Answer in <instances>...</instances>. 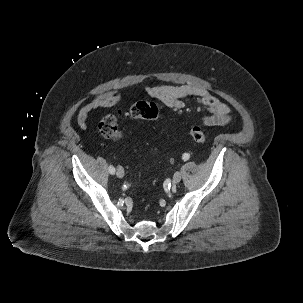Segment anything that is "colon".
I'll use <instances>...</instances> for the list:
<instances>
[{"label":"colon","mask_w":303,"mask_h":303,"mask_svg":"<svg viewBox=\"0 0 303 303\" xmlns=\"http://www.w3.org/2000/svg\"><path fill=\"white\" fill-rule=\"evenodd\" d=\"M123 115L144 120H157L160 117V112L158 107L152 102L145 100L137 101L126 113L117 111L115 113L105 115L98 124L100 134L111 140L122 139L124 137V131L119 127L118 119ZM189 134L191 138L199 144L206 142L205 132L199 126L191 127Z\"/></svg>","instance_id":"1"}]
</instances>
